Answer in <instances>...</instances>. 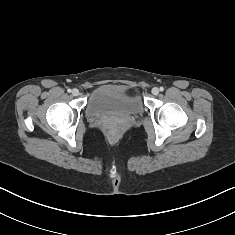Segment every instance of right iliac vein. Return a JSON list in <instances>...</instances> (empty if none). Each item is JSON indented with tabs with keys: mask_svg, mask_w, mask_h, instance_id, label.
<instances>
[{
	"mask_svg": "<svg viewBox=\"0 0 235 235\" xmlns=\"http://www.w3.org/2000/svg\"><path fill=\"white\" fill-rule=\"evenodd\" d=\"M72 94H73V96H78L79 95V90L78 89H73L72 90Z\"/></svg>",
	"mask_w": 235,
	"mask_h": 235,
	"instance_id": "right-iliac-vein-1",
	"label": "right iliac vein"
}]
</instances>
